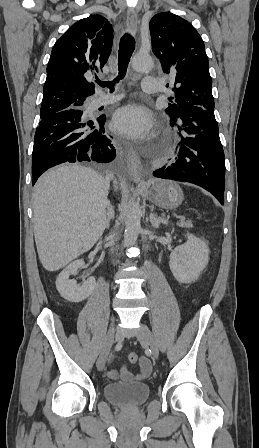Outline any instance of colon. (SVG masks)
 <instances>
[{"mask_svg":"<svg viewBox=\"0 0 259 448\" xmlns=\"http://www.w3.org/2000/svg\"><path fill=\"white\" fill-rule=\"evenodd\" d=\"M128 359L131 363H136L139 360V357L136 353H130Z\"/></svg>","mask_w":259,"mask_h":448,"instance_id":"colon-1","label":"colon"}]
</instances>
